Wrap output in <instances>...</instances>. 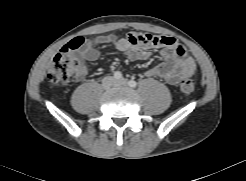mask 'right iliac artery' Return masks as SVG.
Wrapping results in <instances>:
<instances>
[{"mask_svg": "<svg viewBox=\"0 0 246 181\" xmlns=\"http://www.w3.org/2000/svg\"><path fill=\"white\" fill-rule=\"evenodd\" d=\"M114 78L117 80L121 79L122 78L121 72H119V71L114 72Z\"/></svg>", "mask_w": 246, "mask_h": 181, "instance_id": "1", "label": "right iliac artery"}]
</instances>
